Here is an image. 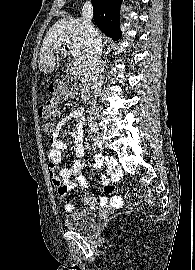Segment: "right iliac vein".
<instances>
[{
    "mask_svg": "<svg viewBox=\"0 0 195 270\" xmlns=\"http://www.w3.org/2000/svg\"><path fill=\"white\" fill-rule=\"evenodd\" d=\"M91 136L98 148L103 150V141L100 133L98 131H94Z\"/></svg>",
    "mask_w": 195,
    "mask_h": 270,
    "instance_id": "63e3f726",
    "label": "right iliac vein"
}]
</instances>
